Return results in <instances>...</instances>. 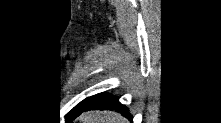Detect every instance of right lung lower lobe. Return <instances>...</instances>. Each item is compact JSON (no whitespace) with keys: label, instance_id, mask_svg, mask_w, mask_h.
<instances>
[{"label":"right lung lower lobe","instance_id":"obj_1","mask_svg":"<svg viewBox=\"0 0 221 123\" xmlns=\"http://www.w3.org/2000/svg\"><path fill=\"white\" fill-rule=\"evenodd\" d=\"M92 109H100V110H122L126 111V107L118 102V99L109 96L107 94H97L93 96L92 101L83 109V111H88ZM82 111V112H83ZM81 112V113H82ZM80 113V114H81ZM78 116V115H77ZM75 116V117H77ZM67 115L69 120H73L75 118ZM130 119V117H128Z\"/></svg>","mask_w":221,"mask_h":123}]
</instances>
